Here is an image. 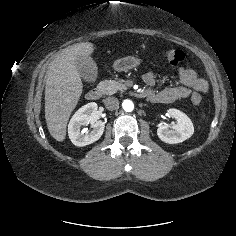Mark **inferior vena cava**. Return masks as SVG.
Segmentation results:
<instances>
[{
  "label": "inferior vena cava",
  "instance_id": "obj_1",
  "mask_svg": "<svg viewBox=\"0 0 236 236\" xmlns=\"http://www.w3.org/2000/svg\"><path fill=\"white\" fill-rule=\"evenodd\" d=\"M104 105L108 110H115L119 107V100L116 97H107L104 99Z\"/></svg>",
  "mask_w": 236,
  "mask_h": 236
}]
</instances>
